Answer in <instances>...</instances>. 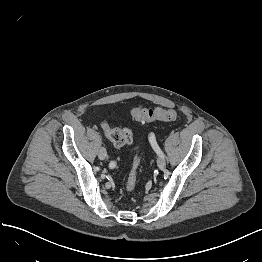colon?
Wrapping results in <instances>:
<instances>
[{
    "instance_id": "1",
    "label": "colon",
    "mask_w": 262,
    "mask_h": 262,
    "mask_svg": "<svg viewBox=\"0 0 262 262\" xmlns=\"http://www.w3.org/2000/svg\"><path fill=\"white\" fill-rule=\"evenodd\" d=\"M133 117L142 122L150 121H174L178 119L179 115L176 110L171 108H142L137 107L132 109ZM104 132L107 138L115 147H122L132 140V130L129 128H111L107 123L103 124ZM155 142L152 141V144ZM140 163V156H136L126 182V191L133 192L138 184V169Z\"/></svg>"
}]
</instances>
